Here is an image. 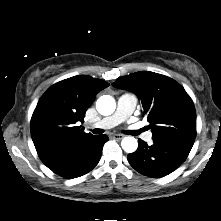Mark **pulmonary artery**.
I'll return each instance as SVG.
<instances>
[{
	"label": "pulmonary artery",
	"instance_id": "obj_1",
	"mask_svg": "<svg viewBox=\"0 0 221 221\" xmlns=\"http://www.w3.org/2000/svg\"><path fill=\"white\" fill-rule=\"evenodd\" d=\"M137 103V98L129 93L123 94L119 97L117 102V108L115 112L103 118L98 123L95 124V127L102 129H110L116 125L124 122L134 111ZM143 139L147 142H151L152 133L147 132L143 135Z\"/></svg>",
	"mask_w": 221,
	"mask_h": 221
}]
</instances>
